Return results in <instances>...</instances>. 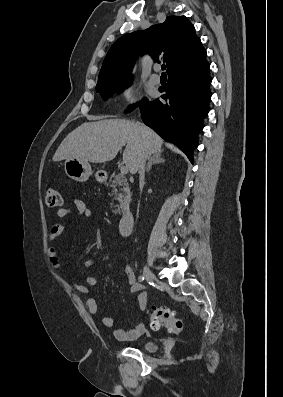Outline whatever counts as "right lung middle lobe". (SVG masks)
<instances>
[{"mask_svg":"<svg viewBox=\"0 0 283 397\" xmlns=\"http://www.w3.org/2000/svg\"><path fill=\"white\" fill-rule=\"evenodd\" d=\"M131 82V78H122V79H113L109 81H98L96 85V91L99 92L103 99H108L111 97L116 91H121L126 88V86ZM147 100L143 99L140 103L136 105H132L128 111H132L139 105L145 103Z\"/></svg>","mask_w":283,"mask_h":397,"instance_id":"1","label":"right lung middle lobe"}]
</instances>
